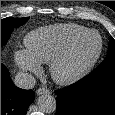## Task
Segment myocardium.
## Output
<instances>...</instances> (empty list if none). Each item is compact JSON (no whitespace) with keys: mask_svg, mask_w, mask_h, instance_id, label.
<instances>
[{"mask_svg":"<svg viewBox=\"0 0 115 115\" xmlns=\"http://www.w3.org/2000/svg\"><path fill=\"white\" fill-rule=\"evenodd\" d=\"M95 34L98 37L99 45L96 52L88 59L77 61L75 58L76 49L80 42L87 36ZM103 50V39L100 33L88 29L76 36L67 47L50 62V74L55 82L61 85L72 84L83 78L95 66Z\"/></svg>","mask_w":115,"mask_h":115,"instance_id":"f54148a6","label":"myocardium"}]
</instances>
